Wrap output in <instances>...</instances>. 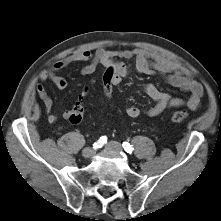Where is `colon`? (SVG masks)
<instances>
[{
	"label": "colon",
	"mask_w": 221,
	"mask_h": 221,
	"mask_svg": "<svg viewBox=\"0 0 221 221\" xmlns=\"http://www.w3.org/2000/svg\"><path fill=\"white\" fill-rule=\"evenodd\" d=\"M119 69V66L116 62L111 61L102 69L101 78L99 81L100 87L102 88L103 99L106 102H111L114 99L113 92V77L114 73H116ZM87 94V89H83L81 93V98L78 102L73 106L72 112L69 116V121L72 123H79L84 115V105L82 102L83 97ZM188 118L187 111L181 110L172 113L171 120L173 122L179 123L183 122Z\"/></svg>",
	"instance_id": "1"
}]
</instances>
